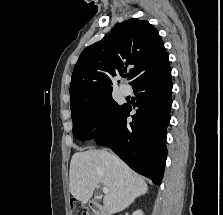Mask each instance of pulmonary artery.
Listing matches in <instances>:
<instances>
[{"label": "pulmonary artery", "mask_w": 223, "mask_h": 215, "mask_svg": "<svg viewBox=\"0 0 223 215\" xmlns=\"http://www.w3.org/2000/svg\"><path fill=\"white\" fill-rule=\"evenodd\" d=\"M120 91L122 94L127 95L129 93V88L126 85H121Z\"/></svg>", "instance_id": "1"}]
</instances>
